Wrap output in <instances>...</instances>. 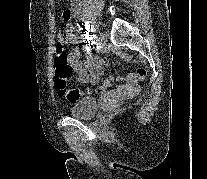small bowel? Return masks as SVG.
<instances>
[{"mask_svg":"<svg viewBox=\"0 0 207 179\" xmlns=\"http://www.w3.org/2000/svg\"><path fill=\"white\" fill-rule=\"evenodd\" d=\"M82 2L83 0H70V8L61 13V20L65 21L70 17L79 20L78 28L84 29V21L82 19ZM75 26L67 24L64 27L63 35L67 43L74 46L69 52V63L77 74V80L81 83H97L104 72L106 62L92 52L90 44H80L74 35ZM81 51L86 53L84 59H81Z\"/></svg>","mask_w":207,"mask_h":179,"instance_id":"c3829d8e","label":"small bowel"}]
</instances>
